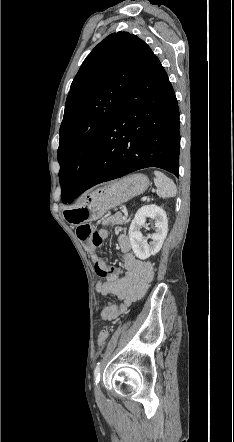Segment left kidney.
<instances>
[{"instance_id":"obj_1","label":"left kidney","mask_w":234,"mask_h":442,"mask_svg":"<svg viewBox=\"0 0 234 442\" xmlns=\"http://www.w3.org/2000/svg\"><path fill=\"white\" fill-rule=\"evenodd\" d=\"M146 218L155 220V233L148 235L151 238L150 243L143 238L140 229L145 226ZM168 232V220L166 212L154 204L142 206L135 214L129 228V239L132 250L137 258L145 260L152 255L157 254Z\"/></svg>"}]
</instances>
